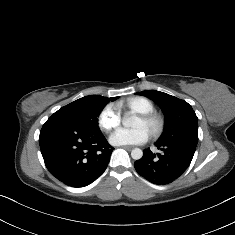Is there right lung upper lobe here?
<instances>
[{
  "label": "right lung upper lobe",
  "instance_id": "cb5924a9",
  "mask_svg": "<svg viewBox=\"0 0 235 235\" xmlns=\"http://www.w3.org/2000/svg\"><path fill=\"white\" fill-rule=\"evenodd\" d=\"M84 98L87 99L92 105H99L101 103H104L107 99H109L107 97H102L100 95H90Z\"/></svg>",
  "mask_w": 235,
  "mask_h": 235
}]
</instances>
